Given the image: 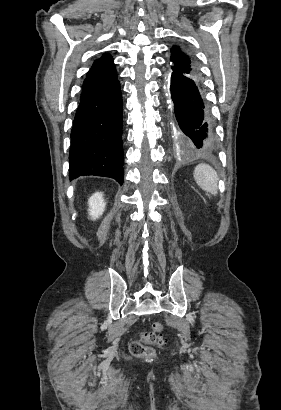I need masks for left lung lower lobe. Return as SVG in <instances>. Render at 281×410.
<instances>
[{
	"instance_id": "left-lung-lower-lobe-1",
	"label": "left lung lower lobe",
	"mask_w": 281,
	"mask_h": 410,
	"mask_svg": "<svg viewBox=\"0 0 281 410\" xmlns=\"http://www.w3.org/2000/svg\"><path fill=\"white\" fill-rule=\"evenodd\" d=\"M167 80L176 139L194 151H213L216 148L214 126L203 99L200 79L169 71Z\"/></svg>"
}]
</instances>
